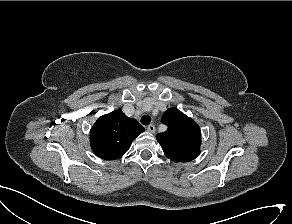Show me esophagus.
Instances as JSON below:
<instances>
[{"instance_id":"obj_1","label":"esophagus","mask_w":292,"mask_h":224,"mask_svg":"<svg viewBox=\"0 0 292 224\" xmlns=\"http://www.w3.org/2000/svg\"><path fill=\"white\" fill-rule=\"evenodd\" d=\"M147 131L150 132V133H155L156 131V128L153 124H150L147 126Z\"/></svg>"}]
</instances>
